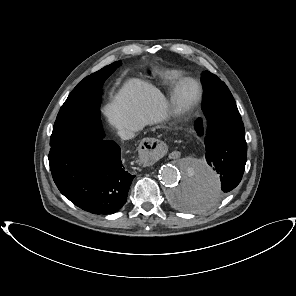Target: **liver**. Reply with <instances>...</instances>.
Listing matches in <instances>:
<instances>
[{"label": "liver", "instance_id": "1", "mask_svg": "<svg viewBox=\"0 0 296 296\" xmlns=\"http://www.w3.org/2000/svg\"><path fill=\"white\" fill-rule=\"evenodd\" d=\"M104 113L117 129L129 126L143 129L162 121L166 115V100L151 83L132 78L105 107Z\"/></svg>", "mask_w": 296, "mask_h": 296}]
</instances>
